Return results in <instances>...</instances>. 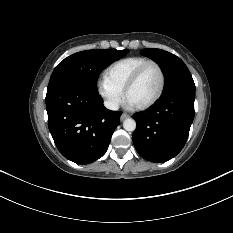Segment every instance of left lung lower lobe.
Returning a JSON list of instances; mask_svg holds the SVG:
<instances>
[{"instance_id": "left-lung-lower-lobe-1", "label": "left lung lower lobe", "mask_w": 233, "mask_h": 233, "mask_svg": "<svg viewBox=\"0 0 233 233\" xmlns=\"http://www.w3.org/2000/svg\"><path fill=\"white\" fill-rule=\"evenodd\" d=\"M194 100L195 90L178 89L162 95L151 109L134 114L133 143L141 157L161 163L182 150L194 119Z\"/></svg>"}]
</instances>
